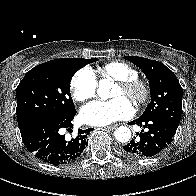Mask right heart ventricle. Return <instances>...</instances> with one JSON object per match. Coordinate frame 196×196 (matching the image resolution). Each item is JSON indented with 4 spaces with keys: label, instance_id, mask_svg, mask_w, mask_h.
Here are the masks:
<instances>
[{
    "label": "right heart ventricle",
    "instance_id": "e07e8e85",
    "mask_svg": "<svg viewBox=\"0 0 196 196\" xmlns=\"http://www.w3.org/2000/svg\"><path fill=\"white\" fill-rule=\"evenodd\" d=\"M100 74L103 78L116 81L131 79L138 76V72L133 66L121 61L106 63L101 67Z\"/></svg>",
    "mask_w": 196,
    "mask_h": 196
}]
</instances>
